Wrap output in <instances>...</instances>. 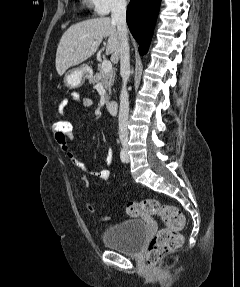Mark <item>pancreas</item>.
I'll list each match as a JSON object with an SVG mask.
<instances>
[{"instance_id":"obj_1","label":"pancreas","mask_w":240,"mask_h":287,"mask_svg":"<svg viewBox=\"0 0 240 287\" xmlns=\"http://www.w3.org/2000/svg\"><path fill=\"white\" fill-rule=\"evenodd\" d=\"M89 81L93 84L101 82L104 88L108 90V94L104 96L105 103H108L110 100V95H111V87L113 86L114 81H115V71L110 70L106 72L103 70L102 65H99L98 72L95 75L91 76L89 78Z\"/></svg>"}]
</instances>
